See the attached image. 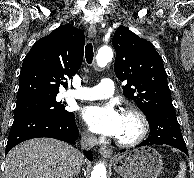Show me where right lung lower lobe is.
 Wrapping results in <instances>:
<instances>
[{"instance_id": "1", "label": "right lung lower lobe", "mask_w": 194, "mask_h": 178, "mask_svg": "<svg viewBox=\"0 0 194 178\" xmlns=\"http://www.w3.org/2000/svg\"><path fill=\"white\" fill-rule=\"evenodd\" d=\"M79 131L74 113L56 116L44 111H24L14 113L5 154L17 144L32 138L49 137L75 144ZM92 161L91 151H84Z\"/></svg>"}]
</instances>
